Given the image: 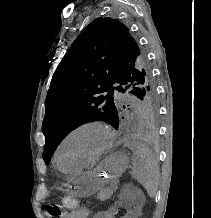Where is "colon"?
Returning a JSON list of instances; mask_svg holds the SVG:
<instances>
[{
	"label": "colon",
	"instance_id": "obj_1",
	"mask_svg": "<svg viewBox=\"0 0 211 218\" xmlns=\"http://www.w3.org/2000/svg\"><path fill=\"white\" fill-rule=\"evenodd\" d=\"M62 206L68 210L76 209L78 201L71 195H65L62 197Z\"/></svg>",
	"mask_w": 211,
	"mask_h": 218
}]
</instances>
